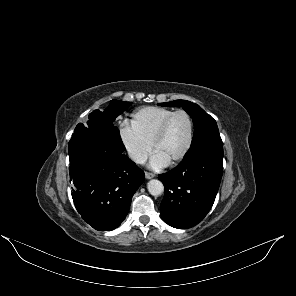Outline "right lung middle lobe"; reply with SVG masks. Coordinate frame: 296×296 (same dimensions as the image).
Here are the masks:
<instances>
[{
  "instance_id": "1",
  "label": "right lung middle lobe",
  "mask_w": 296,
  "mask_h": 296,
  "mask_svg": "<svg viewBox=\"0 0 296 296\" xmlns=\"http://www.w3.org/2000/svg\"><path fill=\"white\" fill-rule=\"evenodd\" d=\"M132 102H124L119 100H112L109 106L105 109V111L101 112L99 109H96L92 113L89 114L88 123H100L104 125L114 126L113 122L116 117L123 113Z\"/></svg>"
}]
</instances>
